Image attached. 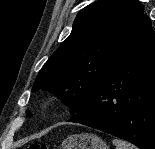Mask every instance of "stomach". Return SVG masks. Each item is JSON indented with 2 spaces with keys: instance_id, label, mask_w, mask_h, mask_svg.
I'll list each match as a JSON object with an SVG mask.
<instances>
[{
  "instance_id": "1",
  "label": "stomach",
  "mask_w": 155,
  "mask_h": 149,
  "mask_svg": "<svg viewBox=\"0 0 155 149\" xmlns=\"http://www.w3.org/2000/svg\"><path fill=\"white\" fill-rule=\"evenodd\" d=\"M61 146L62 149H109L101 138L90 133L68 136Z\"/></svg>"
}]
</instances>
